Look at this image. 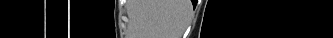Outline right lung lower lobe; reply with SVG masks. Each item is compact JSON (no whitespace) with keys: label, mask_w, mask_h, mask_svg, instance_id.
<instances>
[{"label":"right lung lower lobe","mask_w":333,"mask_h":38,"mask_svg":"<svg viewBox=\"0 0 333 38\" xmlns=\"http://www.w3.org/2000/svg\"><path fill=\"white\" fill-rule=\"evenodd\" d=\"M192 3H193V6L196 4V2H195V1H192Z\"/></svg>","instance_id":"1"}]
</instances>
